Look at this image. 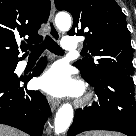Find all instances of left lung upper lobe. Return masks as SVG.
I'll list each match as a JSON object with an SVG mask.
<instances>
[{"instance_id": "1", "label": "left lung upper lobe", "mask_w": 136, "mask_h": 136, "mask_svg": "<svg viewBox=\"0 0 136 136\" xmlns=\"http://www.w3.org/2000/svg\"><path fill=\"white\" fill-rule=\"evenodd\" d=\"M59 11L73 15L68 35L85 36L84 49L94 61L85 58L74 65L90 78L108 75H133L132 46L125 15L114 0H55Z\"/></svg>"}]
</instances>
